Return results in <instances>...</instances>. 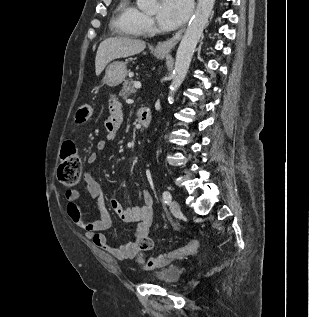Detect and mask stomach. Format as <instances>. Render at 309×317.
Listing matches in <instances>:
<instances>
[{
	"instance_id": "0dacf381",
	"label": "stomach",
	"mask_w": 309,
	"mask_h": 317,
	"mask_svg": "<svg viewBox=\"0 0 309 317\" xmlns=\"http://www.w3.org/2000/svg\"><path fill=\"white\" fill-rule=\"evenodd\" d=\"M154 55L163 58L166 53L154 50ZM127 76V62L116 61L108 65L105 71L104 83L110 87L121 84Z\"/></svg>"
}]
</instances>
